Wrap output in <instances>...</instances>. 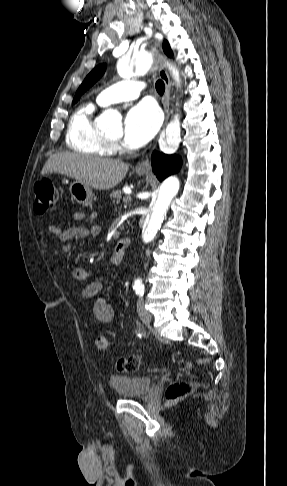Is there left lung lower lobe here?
Masks as SVG:
<instances>
[{"instance_id":"obj_1","label":"left lung lower lobe","mask_w":287,"mask_h":486,"mask_svg":"<svg viewBox=\"0 0 287 486\" xmlns=\"http://www.w3.org/2000/svg\"><path fill=\"white\" fill-rule=\"evenodd\" d=\"M151 165L157 178L162 181L169 175L178 172L181 167V159L177 155H166L154 151L152 154Z\"/></svg>"}]
</instances>
